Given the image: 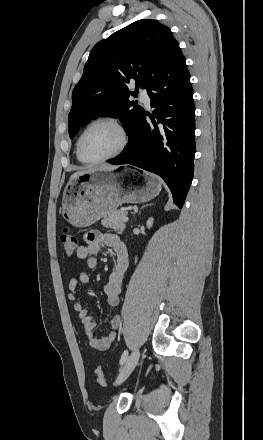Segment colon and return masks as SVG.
<instances>
[{
  "instance_id": "1",
  "label": "colon",
  "mask_w": 263,
  "mask_h": 440,
  "mask_svg": "<svg viewBox=\"0 0 263 440\" xmlns=\"http://www.w3.org/2000/svg\"><path fill=\"white\" fill-rule=\"evenodd\" d=\"M60 242L62 249L67 256L73 255L78 247L77 238L67 228L61 233ZM95 379L97 384L102 387H106L108 384L101 368L96 369Z\"/></svg>"
}]
</instances>
